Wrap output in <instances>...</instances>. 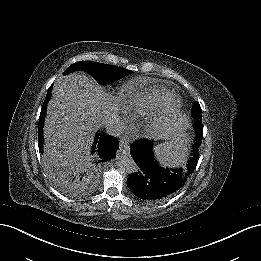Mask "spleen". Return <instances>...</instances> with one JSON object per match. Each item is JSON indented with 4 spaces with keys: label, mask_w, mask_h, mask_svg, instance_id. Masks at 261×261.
Wrapping results in <instances>:
<instances>
[{
    "label": "spleen",
    "mask_w": 261,
    "mask_h": 261,
    "mask_svg": "<svg viewBox=\"0 0 261 261\" xmlns=\"http://www.w3.org/2000/svg\"><path fill=\"white\" fill-rule=\"evenodd\" d=\"M190 137L183 134L172 142L160 144L156 147L157 159L164 166L177 167L184 163L188 157V145Z\"/></svg>",
    "instance_id": "1"
}]
</instances>
